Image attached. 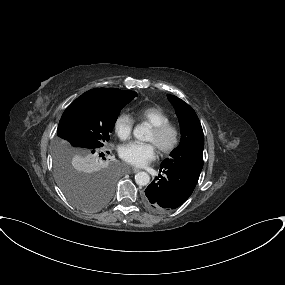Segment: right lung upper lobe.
I'll return each mask as SVG.
<instances>
[{
  "mask_svg": "<svg viewBox=\"0 0 285 285\" xmlns=\"http://www.w3.org/2000/svg\"><path fill=\"white\" fill-rule=\"evenodd\" d=\"M95 89H98V90H107V89H110V88H95Z\"/></svg>",
  "mask_w": 285,
  "mask_h": 285,
  "instance_id": "right-lung-upper-lobe-1",
  "label": "right lung upper lobe"
}]
</instances>
